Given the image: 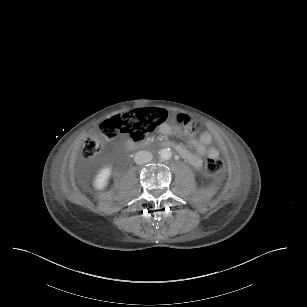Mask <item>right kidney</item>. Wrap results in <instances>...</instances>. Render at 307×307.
Listing matches in <instances>:
<instances>
[{
    "label": "right kidney",
    "instance_id": "ca27d5eb",
    "mask_svg": "<svg viewBox=\"0 0 307 307\" xmlns=\"http://www.w3.org/2000/svg\"><path fill=\"white\" fill-rule=\"evenodd\" d=\"M112 174V167H105L99 171L92 182V186L96 191H102L107 188Z\"/></svg>",
    "mask_w": 307,
    "mask_h": 307
}]
</instances>
